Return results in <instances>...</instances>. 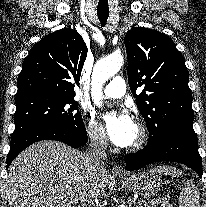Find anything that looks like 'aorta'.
Segmentation results:
<instances>
[{
  "label": "aorta",
  "instance_id": "762f6f07",
  "mask_svg": "<svg viewBox=\"0 0 206 207\" xmlns=\"http://www.w3.org/2000/svg\"><path fill=\"white\" fill-rule=\"evenodd\" d=\"M122 65L123 57L120 53H112L96 63L92 76V99L97 106L101 105L102 85L114 76Z\"/></svg>",
  "mask_w": 206,
  "mask_h": 207
}]
</instances>
